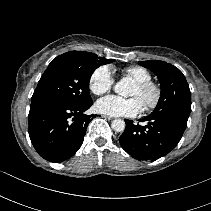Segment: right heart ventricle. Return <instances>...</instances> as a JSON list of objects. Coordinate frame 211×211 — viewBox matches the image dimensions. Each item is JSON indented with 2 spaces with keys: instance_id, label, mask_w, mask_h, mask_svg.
I'll list each match as a JSON object with an SVG mask.
<instances>
[{
  "instance_id": "right-heart-ventricle-1",
  "label": "right heart ventricle",
  "mask_w": 211,
  "mask_h": 211,
  "mask_svg": "<svg viewBox=\"0 0 211 211\" xmlns=\"http://www.w3.org/2000/svg\"><path fill=\"white\" fill-rule=\"evenodd\" d=\"M122 76L124 78L131 79L135 82L151 80L150 71L141 66H130V67L124 68L122 70Z\"/></svg>"
}]
</instances>
